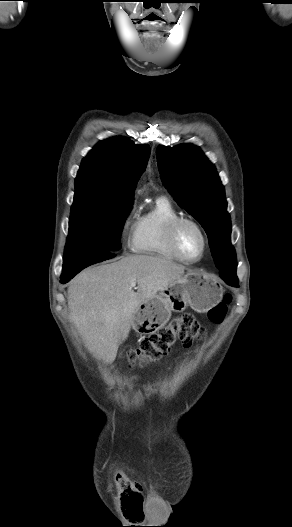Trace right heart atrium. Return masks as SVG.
I'll use <instances>...</instances> for the list:
<instances>
[{
    "label": "right heart atrium",
    "mask_w": 292,
    "mask_h": 527,
    "mask_svg": "<svg viewBox=\"0 0 292 527\" xmlns=\"http://www.w3.org/2000/svg\"><path fill=\"white\" fill-rule=\"evenodd\" d=\"M134 210L131 208L125 215L122 226H121V235L123 239L127 242L129 239V230L133 218Z\"/></svg>",
    "instance_id": "1"
}]
</instances>
